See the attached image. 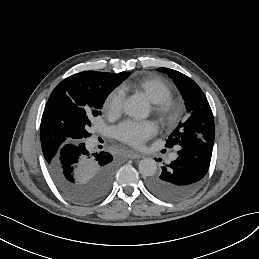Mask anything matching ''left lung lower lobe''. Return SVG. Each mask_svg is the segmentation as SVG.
Here are the masks:
<instances>
[{
  "label": "left lung lower lobe",
  "mask_w": 259,
  "mask_h": 259,
  "mask_svg": "<svg viewBox=\"0 0 259 259\" xmlns=\"http://www.w3.org/2000/svg\"><path fill=\"white\" fill-rule=\"evenodd\" d=\"M189 135L191 138L178 147L177 159L164 165L160 175L147 181L148 189L161 199L179 201L187 198L197 190L208 172L214 143Z\"/></svg>",
  "instance_id": "obj_1"
}]
</instances>
